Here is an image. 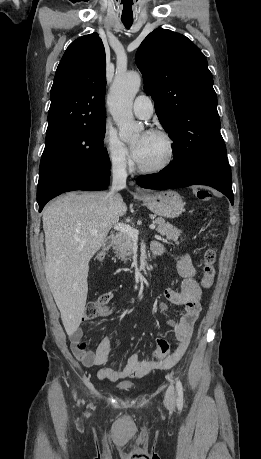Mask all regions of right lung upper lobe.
Listing matches in <instances>:
<instances>
[{
    "mask_svg": "<svg viewBox=\"0 0 261 459\" xmlns=\"http://www.w3.org/2000/svg\"><path fill=\"white\" fill-rule=\"evenodd\" d=\"M105 50L98 34L72 42L64 53L51 88L46 133L106 120Z\"/></svg>",
    "mask_w": 261,
    "mask_h": 459,
    "instance_id": "obj_1",
    "label": "right lung upper lobe"
}]
</instances>
